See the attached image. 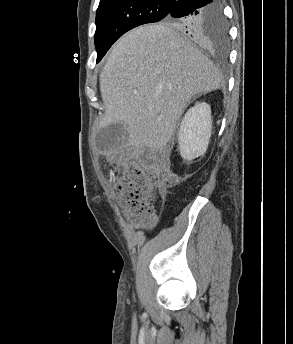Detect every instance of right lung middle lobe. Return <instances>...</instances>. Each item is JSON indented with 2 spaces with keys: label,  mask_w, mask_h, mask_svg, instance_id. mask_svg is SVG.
<instances>
[{
  "label": "right lung middle lobe",
  "mask_w": 293,
  "mask_h": 344,
  "mask_svg": "<svg viewBox=\"0 0 293 344\" xmlns=\"http://www.w3.org/2000/svg\"><path fill=\"white\" fill-rule=\"evenodd\" d=\"M174 2L169 0H106L100 2L96 13L95 46L97 63L112 44L125 32L139 25L163 20L183 31L189 19H174L169 13ZM194 19L205 27L202 43L225 50L228 46V31L221 6L210 13H203Z\"/></svg>",
  "instance_id": "obj_1"
}]
</instances>
